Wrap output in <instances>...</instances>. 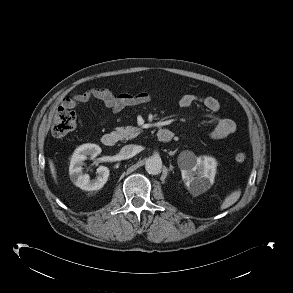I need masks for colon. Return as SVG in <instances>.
<instances>
[{"mask_svg": "<svg viewBox=\"0 0 293 293\" xmlns=\"http://www.w3.org/2000/svg\"><path fill=\"white\" fill-rule=\"evenodd\" d=\"M76 127V115L67 108L60 107L53 119L52 134L57 138H63L72 132ZM247 158L246 153L239 152L235 155V160L239 163Z\"/></svg>", "mask_w": 293, "mask_h": 293, "instance_id": "colon-1", "label": "colon"}]
</instances>
